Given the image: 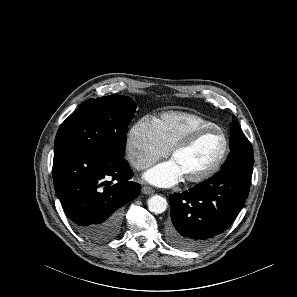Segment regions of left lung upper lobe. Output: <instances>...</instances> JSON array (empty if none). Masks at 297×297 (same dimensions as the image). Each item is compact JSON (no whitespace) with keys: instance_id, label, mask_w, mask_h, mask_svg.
Returning <instances> with one entry per match:
<instances>
[{"instance_id":"5c2ea615","label":"left lung upper lobe","mask_w":297,"mask_h":297,"mask_svg":"<svg viewBox=\"0 0 297 297\" xmlns=\"http://www.w3.org/2000/svg\"><path fill=\"white\" fill-rule=\"evenodd\" d=\"M230 131L231 153L229 154L226 163L222 165L221 170H242L253 168L254 156L252 145L241 130L239 122L235 116H233Z\"/></svg>"}]
</instances>
